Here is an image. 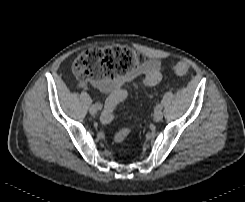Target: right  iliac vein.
Instances as JSON below:
<instances>
[{"mask_svg":"<svg viewBox=\"0 0 245 202\" xmlns=\"http://www.w3.org/2000/svg\"><path fill=\"white\" fill-rule=\"evenodd\" d=\"M98 110H99V109H98V107H97L96 105H92V106L90 107V109H89V112H90L91 115H95V114L97 113Z\"/></svg>","mask_w":245,"mask_h":202,"instance_id":"obj_1","label":"right iliac vein"}]
</instances>
